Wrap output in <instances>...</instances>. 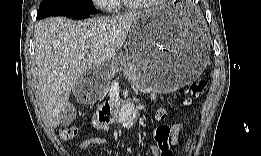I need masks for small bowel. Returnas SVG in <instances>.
<instances>
[{"label":"small bowel","instance_id":"small-bowel-1","mask_svg":"<svg viewBox=\"0 0 261 156\" xmlns=\"http://www.w3.org/2000/svg\"><path fill=\"white\" fill-rule=\"evenodd\" d=\"M152 98L155 99L156 96L153 94ZM183 130V124L181 123H175L172 126L169 127L170 131V137L168 141V147H175L178 144V138L180 132ZM154 140L155 139V134H154ZM106 143V140L100 137H87L83 139L80 142V148L81 149H89L90 147L94 145H103ZM157 143V142H156ZM148 152L152 156H170V155H165L164 152L161 150V148L157 145H150L148 147Z\"/></svg>","mask_w":261,"mask_h":156}]
</instances>
